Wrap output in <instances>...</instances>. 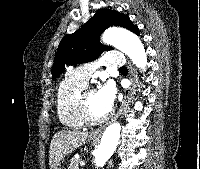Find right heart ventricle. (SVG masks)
<instances>
[{"instance_id":"1","label":"right heart ventricle","mask_w":200,"mask_h":169,"mask_svg":"<svg viewBox=\"0 0 200 169\" xmlns=\"http://www.w3.org/2000/svg\"><path fill=\"white\" fill-rule=\"evenodd\" d=\"M84 87V84L71 79L68 75L58 86L56 112L60 123L67 129L79 130L85 126L77 97Z\"/></svg>"}]
</instances>
